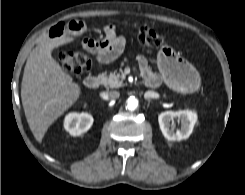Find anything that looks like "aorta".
I'll use <instances>...</instances> for the list:
<instances>
[{
    "label": "aorta",
    "mask_w": 245,
    "mask_h": 195,
    "mask_svg": "<svg viewBox=\"0 0 245 195\" xmlns=\"http://www.w3.org/2000/svg\"><path fill=\"white\" fill-rule=\"evenodd\" d=\"M137 107H138V100L134 96L129 97L126 103V108L129 110H135Z\"/></svg>",
    "instance_id": "aorta-1"
}]
</instances>
